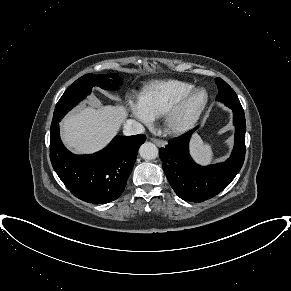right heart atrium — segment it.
I'll return each instance as SVG.
<instances>
[{
	"instance_id": "d8ad5b80",
	"label": "right heart atrium",
	"mask_w": 291,
	"mask_h": 291,
	"mask_svg": "<svg viewBox=\"0 0 291 291\" xmlns=\"http://www.w3.org/2000/svg\"><path fill=\"white\" fill-rule=\"evenodd\" d=\"M129 108H130V111H131L132 115L135 116L136 118H138L140 121H142L143 123H149L150 122V118L142 110V108L140 107V105L138 103L130 101L129 102Z\"/></svg>"
}]
</instances>
